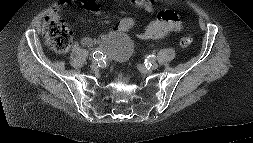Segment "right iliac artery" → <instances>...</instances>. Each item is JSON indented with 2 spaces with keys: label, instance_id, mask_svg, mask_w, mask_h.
<instances>
[{
  "label": "right iliac artery",
  "instance_id": "obj_1",
  "mask_svg": "<svg viewBox=\"0 0 253 143\" xmlns=\"http://www.w3.org/2000/svg\"><path fill=\"white\" fill-rule=\"evenodd\" d=\"M92 56H93V59L94 60H102V58H103V53L102 52H100V51H95L93 54H92Z\"/></svg>",
  "mask_w": 253,
  "mask_h": 143
}]
</instances>
